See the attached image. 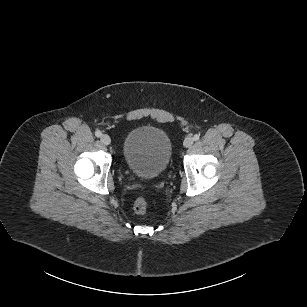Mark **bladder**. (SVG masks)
Returning a JSON list of instances; mask_svg holds the SVG:
<instances>
[{
	"instance_id": "1",
	"label": "bladder",
	"mask_w": 307,
	"mask_h": 307,
	"mask_svg": "<svg viewBox=\"0 0 307 307\" xmlns=\"http://www.w3.org/2000/svg\"><path fill=\"white\" fill-rule=\"evenodd\" d=\"M122 154L132 174L143 179H155L169 165L172 143L164 130L151 125L139 126L126 135Z\"/></svg>"
}]
</instances>
